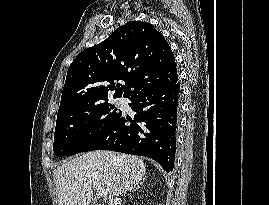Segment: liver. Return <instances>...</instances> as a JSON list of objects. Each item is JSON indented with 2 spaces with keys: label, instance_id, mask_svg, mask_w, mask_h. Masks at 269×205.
Instances as JSON below:
<instances>
[{
  "label": "liver",
  "instance_id": "6515ba94",
  "mask_svg": "<svg viewBox=\"0 0 269 205\" xmlns=\"http://www.w3.org/2000/svg\"><path fill=\"white\" fill-rule=\"evenodd\" d=\"M144 162L132 155L97 150L64 162L56 171L59 205H89L99 184L109 199L131 191L146 179Z\"/></svg>",
  "mask_w": 269,
  "mask_h": 205
}]
</instances>
